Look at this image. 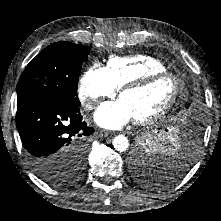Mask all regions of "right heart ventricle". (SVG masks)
<instances>
[{
	"label": "right heart ventricle",
	"instance_id": "obj_1",
	"mask_svg": "<svg viewBox=\"0 0 221 221\" xmlns=\"http://www.w3.org/2000/svg\"><path fill=\"white\" fill-rule=\"evenodd\" d=\"M107 73L118 89L124 84L138 80L145 75L166 71V66L157 58L134 54L129 56L111 57L107 62Z\"/></svg>",
	"mask_w": 221,
	"mask_h": 221
}]
</instances>
